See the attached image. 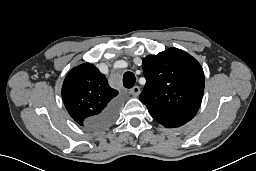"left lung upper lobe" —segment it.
<instances>
[{
  "instance_id": "5c2ea615",
  "label": "left lung upper lobe",
  "mask_w": 256,
  "mask_h": 171,
  "mask_svg": "<svg viewBox=\"0 0 256 171\" xmlns=\"http://www.w3.org/2000/svg\"><path fill=\"white\" fill-rule=\"evenodd\" d=\"M146 78L140 100L165 127L184 125L197 113L204 92V72L198 61L177 48L143 59Z\"/></svg>"
}]
</instances>
